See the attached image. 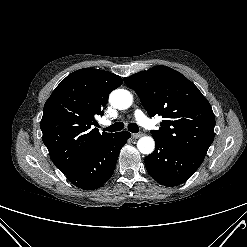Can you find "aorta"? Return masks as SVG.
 Masks as SVG:
<instances>
[{
	"instance_id": "aorta-1",
	"label": "aorta",
	"mask_w": 247,
	"mask_h": 247,
	"mask_svg": "<svg viewBox=\"0 0 247 247\" xmlns=\"http://www.w3.org/2000/svg\"><path fill=\"white\" fill-rule=\"evenodd\" d=\"M111 105L119 110L127 109L133 102L132 94L124 89L114 90L110 96ZM137 148L142 154H151L155 148L154 139L150 136H144L138 140Z\"/></svg>"
}]
</instances>
